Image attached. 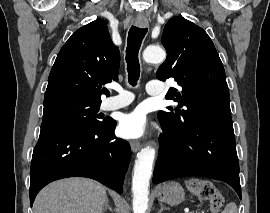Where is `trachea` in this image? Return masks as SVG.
I'll list each match as a JSON object with an SVG mask.
<instances>
[{
    "label": "trachea",
    "instance_id": "obj_1",
    "mask_svg": "<svg viewBox=\"0 0 270 213\" xmlns=\"http://www.w3.org/2000/svg\"><path fill=\"white\" fill-rule=\"evenodd\" d=\"M147 33L146 28L131 26L128 33V43L126 49V63L129 83L132 86L137 84L140 76V64L138 59L139 49L144 36Z\"/></svg>",
    "mask_w": 270,
    "mask_h": 213
}]
</instances>
